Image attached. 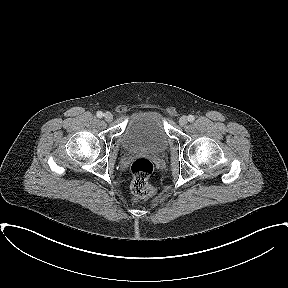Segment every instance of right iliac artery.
<instances>
[{"instance_id": "obj_1", "label": "right iliac artery", "mask_w": 288, "mask_h": 288, "mask_svg": "<svg viewBox=\"0 0 288 288\" xmlns=\"http://www.w3.org/2000/svg\"><path fill=\"white\" fill-rule=\"evenodd\" d=\"M102 116H103V113H102L101 111H98V112H97V117H98V118H102Z\"/></svg>"}]
</instances>
